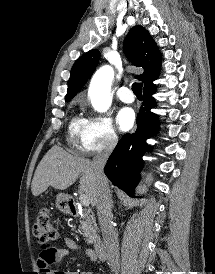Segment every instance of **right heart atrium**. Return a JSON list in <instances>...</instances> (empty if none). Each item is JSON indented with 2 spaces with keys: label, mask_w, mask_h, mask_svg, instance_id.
I'll return each mask as SVG.
<instances>
[{
  "label": "right heart atrium",
  "mask_w": 215,
  "mask_h": 274,
  "mask_svg": "<svg viewBox=\"0 0 215 274\" xmlns=\"http://www.w3.org/2000/svg\"><path fill=\"white\" fill-rule=\"evenodd\" d=\"M118 144V135L109 117L93 114L85 119V127L76 145L86 155L111 151Z\"/></svg>",
  "instance_id": "right-heart-atrium-1"
}]
</instances>
